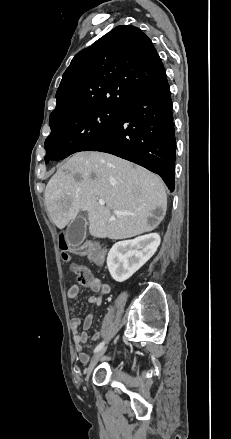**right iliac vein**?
I'll use <instances>...</instances> for the list:
<instances>
[{"label": "right iliac vein", "mask_w": 231, "mask_h": 439, "mask_svg": "<svg viewBox=\"0 0 231 439\" xmlns=\"http://www.w3.org/2000/svg\"><path fill=\"white\" fill-rule=\"evenodd\" d=\"M107 347H103L101 350L96 352L94 356L92 357L89 366L87 367L85 373H86V381H88V378L94 369V367L97 365L98 361L101 359L103 354L105 353Z\"/></svg>", "instance_id": "obj_1"}]
</instances>
